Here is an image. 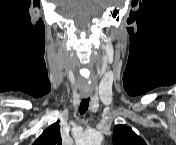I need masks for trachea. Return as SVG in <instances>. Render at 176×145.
<instances>
[{
    "label": "trachea",
    "mask_w": 176,
    "mask_h": 145,
    "mask_svg": "<svg viewBox=\"0 0 176 145\" xmlns=\"http://www.w3.org/2000/svg\"><path fill=\"white\" fill-rule=\"evenodd\" d=\"M88 106H89V98H83L81 100L80 107H79L80 114H84L87 111Z\"/></svg>",
    "instance_id": "3493384b"
}]
</instances>
